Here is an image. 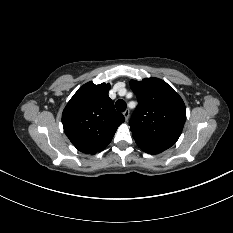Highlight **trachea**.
<instances>
[{"instance_id": "1", "label": "trachea", "mask_w": 233, "mask_h": 233, "mask_svg": "<svg viewBox=\"0 0 233 233\" xmlns=\"http://www.w3.org/2000/svg\"><path fill=\"white\" fill-rule=\"evenodd\" d=\"M126 102L122 99H119L115 103V107L119 112H124L126 110Z\"/></svg>"}]
</instances>
